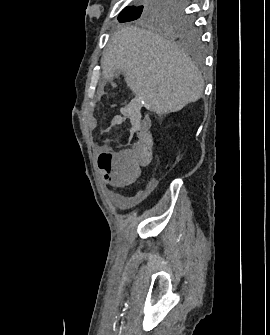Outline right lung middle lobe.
Wrapping results in <instances>:
<instances>
[{
  "label": "right lung middle lobe",
  "mask_w": 270,
  "mask_h": 335,
  "mask_svg": "<svg viewBox=\"0 0 270 335\" xmlns=\"http://www.w3.org/2000/svg\"><path fill=\"white\" fill-rule=\"evenodd\" d=\"M140 6H127L119 14V22L139 21L167 32L184 44L197 45L199 30L186 13L182 0H140Z\"/></svg>",
  "instance_id": "right-lung-middle-lobe-1"
}]
</instances>
